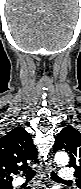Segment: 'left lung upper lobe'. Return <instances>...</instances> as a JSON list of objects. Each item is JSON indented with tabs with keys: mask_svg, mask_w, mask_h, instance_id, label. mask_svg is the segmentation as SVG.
Listing matches in <instances>:
<instances>
[{
	"mask_svg": "<svg viewBox=\"0 0 81 189\" xmlns=\"http://www.w3.org/2000/svg\"><path fill=\"white\" fill-rule=\"evenodd\" d=\"M65 150L70 155L69 167L76 169V184L81 188V132L71 126L64 128L57 136L53 151Z\"/></svg>",
	"mask_w": 81,
	"mask_h": 189,
	"instance_id": "left-lung-upper-lobe-1",
	"label": "left lung upper lobe"
}]
</instances>
